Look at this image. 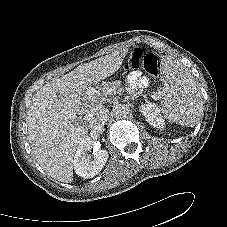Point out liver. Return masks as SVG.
Masks as SVG:
<instances>
[{
  "label": "liver",
  "instance_id": "liver-1",
  "mask_svg": "<svg viewBox=\"0 0 227 227\" xmlns=\"http://www.w3.org/2000/svg\"><path fill=\"white\" fill-rule=\"evenodd\" d=\"M127 53L128 49L123 48L79 65L33 96L27 117L29 142L37 162L52 178L63 183L73 181V157L88 133L87 127L74 124L85 91L113 75Z\"/></svg>",
  "mask_w": 227,
  "mask_h": 227
}]
</instances>
